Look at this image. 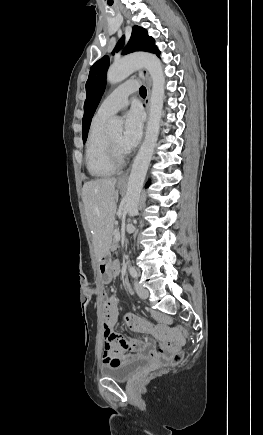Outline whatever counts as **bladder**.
<instances>
[{
  "label": "bladder",
  "instance_id": "1",
  "mask_svg": "<svg viewBox=\"0 0 263 435\" xmlns=\"http://www.w3.org/2000/svg\"><path fill=\"white\" fill-rule=\"evenodd\" d=\"M147 363V358L133 357L114 365L104 364L100 369V374L103 377L123 382L131 379Z\"/></svg>",
  "mask_w": 263,
  "mask_h": 435
}]
</instances>
